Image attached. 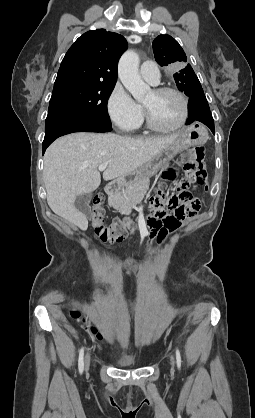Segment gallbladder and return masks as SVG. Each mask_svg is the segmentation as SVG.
I'll return each instance as SVG.
<instances>
[{"instance_id":"bac80fb5","label":"gallbladder","mask_w":255,"mask_h":418,"mask_svg":"<svg viewBox=\"0 0 255 418\" xmlns=\"http://www.w3.org/2000/svg\"><path fill=\"white\" fill-rule=\"evenodd\" d=\"M92 198L91 193L80 194L75 200V207L86 217L91 216L90 201Z\"/></svg>"}]
</instances>
